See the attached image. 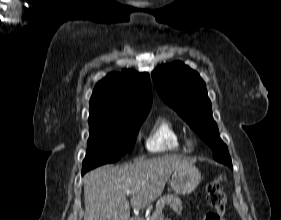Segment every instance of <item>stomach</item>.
Wrapping results in <instances>:
<instances>
[{
	"instance_id": "stomach-1",
	"label": "stomach",
	"mask_w": 281,
	"mask_h": 220,
	"mask_svg": "<svg viewBox=\"0 0 281 220\" xmlns=\"http://www.w3.org/2000/svg\"><path fill=\"white\" fill-rule=\"evenodd\" d=\"M201 181L199 169L190 165L184 169L174 171L170 180L172 189L177 194H189L193 192Z\"/></svg>"
}]
</instances>
